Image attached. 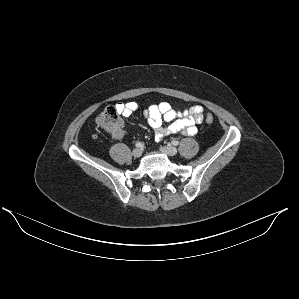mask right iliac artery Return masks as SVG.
Here are the masks:
<instances>
[{
    "label": "right iliac artery",
    "mask_w": 299,
    "mask_h": 299,
    "mask_svg": "<svg viewBox=\"0 0 299 299\" xmlns=\"http://www.w3.org/2000/svg\"><path fill=\"white\" fill-rule=\"evenodd\" d=\"M135 146H136L137 148H141V147H143V143H141V142H137V143L135 144Z\"/></svg>",
    "instance_id": "82829eb1"
}]
</instances>
